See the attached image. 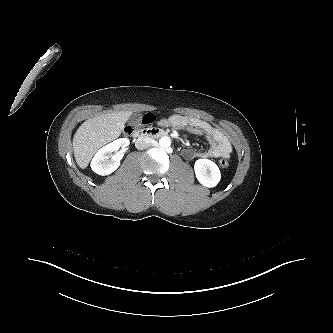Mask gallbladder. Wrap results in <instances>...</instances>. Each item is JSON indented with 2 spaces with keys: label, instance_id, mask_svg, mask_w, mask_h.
I'll use <instances>...</instances> for the list:
<instances>
[{
  "label": "gallbladder",
  "instance_id": "gallbladder-1",
  "mask_svg": "<svg viewBox=\"0 0 333 333\" xmlns=\"http://www.w3.org/2000/svg\"><path fill=\"white\" fill-rule=\"evenodd\" d=\"M140 116L141 114L140 113H133L131 116H130V119L133 120L134 124L140 119Z\"/></svg>",
  "mask_w": 333,
  "mask_h": 333
}]
</instances>
